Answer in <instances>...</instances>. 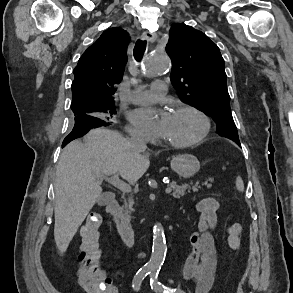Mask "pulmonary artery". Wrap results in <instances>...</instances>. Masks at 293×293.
Listing matches in <instances>:
<instances>
[{
  "label": "pulmonary artery",
  "instance_id": "1",
  "mask_svg": "<svg viewBox=\"0 0 293 293\" xmlns=\"http://www.w3.org/2000/svg\"><path fill=\"white\" fill-rule=\"evenodd\" d=\"M167 85L164 81H156L151 84L149 90H135L130 96V101L135 104H151L166 95Z\"/></svg>",
  "mask_w": 293,
  "mask_h": 293
}]
</instances>
